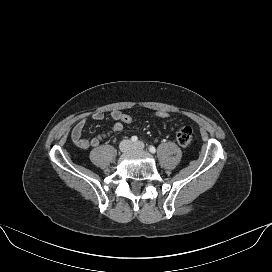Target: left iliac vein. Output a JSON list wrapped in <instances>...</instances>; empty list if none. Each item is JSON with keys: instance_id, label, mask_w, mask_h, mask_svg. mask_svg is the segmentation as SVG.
I'll use <instances>...</instances> for the list:
<instances>
[{"instance_id": "left-iliac-vein-1", "label": "left iliac vein", "mask_w": 272, "mask_h": 272, "mask_svg": "<svg viewBox=\"0 0 272 272\" xmlns=\"http://www.w3.org/2000/svg\"><path fill=\"white\" fill-rule=\"evenodd\" d=\"M134 149L143 150L144 149V143L141 141H138L133 144Z\"/></svg>"}]
</instances>
